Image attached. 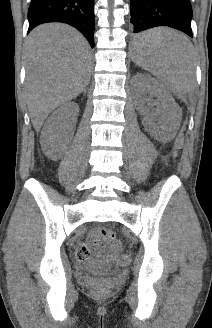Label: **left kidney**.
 Here are the masks:
<instances>
[{
    "label": "left kidney",
    "mask_w": 212,
    "mask_h": 328,
    "mask_svg": "<svg viewBox=\"0 0 212 328\" xmlns=\"http://www.w3.org/2000/svg\"><path fill=\"white\" fill-rule=\"evenodd\" d=\"M138 86L136 94V108L145 115L143 125L147 131L160 141L171 140L179 129L181 121V109L170 93L154 78L138 74L136 76ZM150 94L156 98V104L160 110L161 121L153 122L145 107V100L142 96Z\"/></svg>",
    "instance_id": "1"
}]
</instances>
